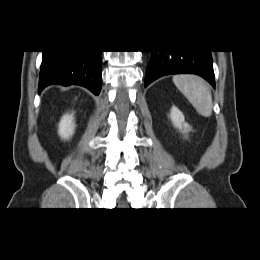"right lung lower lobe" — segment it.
<instances>
[{
    "mask_svg": "<svg viewBox=\"0 0 260 260\" xmlns=\"http://www.w3.org/2000/svg\"><path fill=\"white\" fill-rule=\"evenodd\" d=\"M51 84L81 85L98 95L102 86L101 51H43L38 91Z\"/></svg>",
    "mask_w": 260,
    "mask_h": 260,
    "instance_id": "98d812e1",
    "label": "right lung lower lobe"
}]
</instances>
